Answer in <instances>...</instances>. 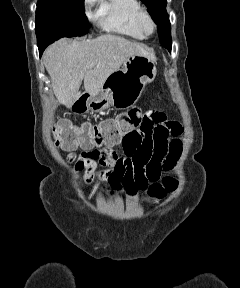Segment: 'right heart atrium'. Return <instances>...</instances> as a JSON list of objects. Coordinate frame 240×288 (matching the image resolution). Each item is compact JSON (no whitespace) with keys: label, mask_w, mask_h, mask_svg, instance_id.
Segmentation results:
<instances>
[{"label":"right heart atrium","mask_w":240,"mask_h":288,"mask_svg":"<svg viewBox=\"0 0 240 288\" xmlns=\"http://www.w3.org/2000/svg\"><path fill=\"white\" fill-rule=\"evenodd\" d=\"M99 0H84V10L89 17H92V9Z\"/></svg>","instance_id":"obj_1"}]
</instances>
